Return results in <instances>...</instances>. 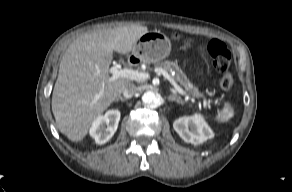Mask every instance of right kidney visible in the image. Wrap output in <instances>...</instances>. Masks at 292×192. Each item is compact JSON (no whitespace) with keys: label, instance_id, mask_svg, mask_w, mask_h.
<instances>
[{"label":"right kidney","instance_id":"1","mask_svg":"<svg viewBox=\"0 0 292 192\" xmlns=\"http://www.w3.org/2000/svg\"><path fill=\"white\" fill-rule=\"evenodd\" d=\"M120 121V112L118 110H109L105 115L99 116L94 120L90 128V135L97 144L108 142L117 130Z\"/></svg>","mask_w":292,"mask_h":192}]
</instances>
